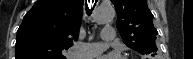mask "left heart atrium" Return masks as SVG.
<instances>
[{
	"label": "left heart atrium",
	"mask_w": 193,
	"mask_h": 59,
	"mask_svg": "<svg viewBox=\"0 0 193 59\" xmlns=\"http://www.w3.org/2000/svg\"><path fill=\"white\" fill-rule=\"evenodd\" d=\"M98 59H120V58L115 54H108V55H103Z\"/></svg>",
	"instance_id": "obj_1"
}]
</instances>
